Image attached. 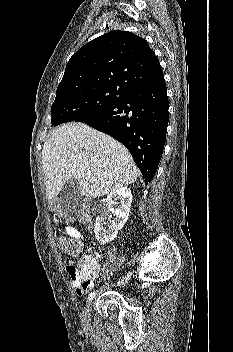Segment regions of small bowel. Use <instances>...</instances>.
Returning <instances> with one entry per match:
<instances>
[{
	"mask_svg": "<svg viewBox=\"0 0 233 352\" xmlns=\"http://www.w3.org/2000/svg\"><path fill=\"white\" fill-rule=\"evenodd\" d=\"M64 230L66 234H68L69 236L75 239H79V240L83 239L82 233L77 229V227L73 223H67L64 226ZM81 262L85 264L95 263L98 269L90 277L83 278L76 274L75 265L73 261H69L67 263L66 271L70 278V284L72 285L75 293L79 296H82L87 292H89L94 287V284L100 275V264H99L98 256L84 255L81 259Z\"/></svg>",
	"mask_w": 233,
	"mask_h": 352,
	"instance_id": "1",
	"label": "small bowel"
}]
</instances>
